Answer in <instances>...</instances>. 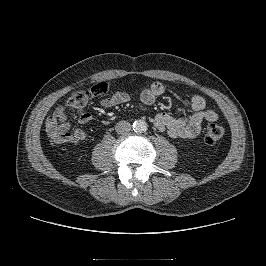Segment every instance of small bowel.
Returning a JSON list of instances; mask_svg holds the SVG:
<instances>
[{
	"mask_svg": "<svg viewBox=\"0 0 266 266\" xmlns=\"http://www.w3.org/2000/svg\"><path fill=\"white\" fill-rule=\"evenodd\" d=\"M165 91L162 83L154 82L141 92L140 100L146 105L153 104ZM90 99L87 96L73 94L63 105L53 110L45 123L46 133L52 143L76 145L88 140L89 136L84 130L70 131L67 111L75 110L80 124L91 122L93 117L87 110ZM129 99L130 96L126 92H116L103 98L100 105L105 108L114 107L128 102ZM188 104L192 110L191 114L174 117L167 113H159L154 120L155 128L173 139L188 140L199 135L203 121H215L219 117L218 111L206 107V102L200 95H193Z\"/></svg>",
	"mask_w": 266,
	"mask_h": 266,
	"instance_id": "obj_1",
	"label": "small bowel"
}]
</instances>
